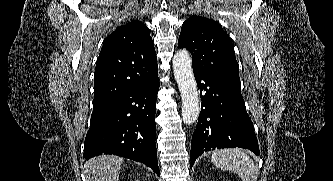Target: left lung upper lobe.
<instances>
[{"label":"left lung upper lobe","mask_w":333,"mask_h":181,"mask_svg":"<svg viewBox=\"0 0 333 181\" xmlns=\"http://www.w3.org/2000/svg\"><path fill=\"white\" fill-rule=\"evenodd\" d=\"M178 46L192 54L193 70L217 78L241 93L233 45L217 22L196 15L190 17L182 25Z\"/></svg>","instance_id":"obj_1"}]
</instances>
